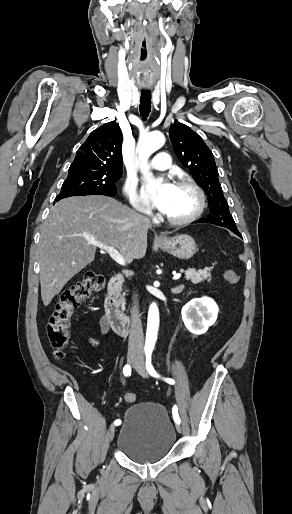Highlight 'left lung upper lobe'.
<instances>
[{
  "mask_svg": "<svg viewBox=\"0 0 292 514\" xmlns=\"http://www.w3.org/2000/svg\"><path fill=\"white\" fill-rule=\"evenodd\" d=\"M169 135L178 159L208 196L210 214L203 222L239 232L224 198L211 150L197 133L182 123L171 125Z\"/></svg>",
  "mask_w": 292,
  "mask_h": 514,
  "instance_id": "left-lung-upper-lobe-1",
  "label": "left lung upper lobe"
}]
</instances>
